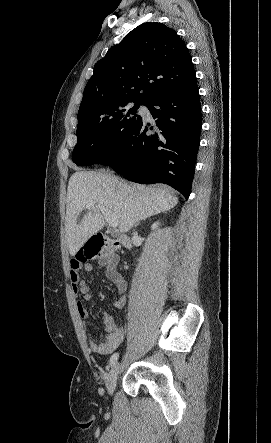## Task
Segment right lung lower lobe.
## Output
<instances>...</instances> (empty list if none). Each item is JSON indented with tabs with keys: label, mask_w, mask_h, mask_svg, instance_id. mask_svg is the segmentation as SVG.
I'll use <instances>...</instances> for the list:
<instances>
[{
	"label": "right lung lower lobe",
	"mask_w": 271,
	"mask_h": 443,
	"mask_svg": "<svg viewBox=\"0 0 271 443\" xmlns=\"http://www.w3.org/2000/svg\"><path fill=\"white\" fill-rule=\"evenodd\" d=\"M199 97L196 79L158 94L146 105L157 118V132L147 135L153 127L142 121L103 165L130 181L166 183L188 199L200 144Z\"/></svg>",
	"instance_id": "obj_1"
}]
</instances>
